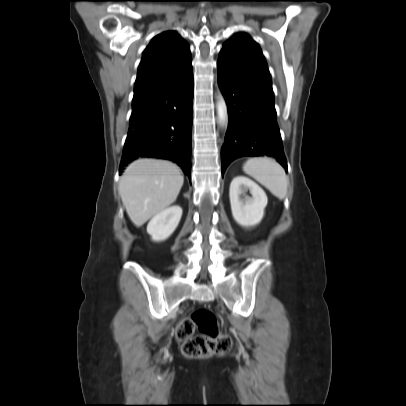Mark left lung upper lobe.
<instances>
[{
  "label": "left lung upper lobe",
  "instance_id": "obj_1",
  "mask_svg": "<svg viewBox=\"0 0 406 406\" xmlns=\"http://www.w3.org/2000/svg\"><path fill=\"white\" fill-rule=\"evenodd\" d=\"M251 65L270 76L267 63L258 44L247 34L239 33L231 37L220 52Z\"/></svg>",
  "mask_w": 406,
  "mask_h": 406
}]
</instances>
